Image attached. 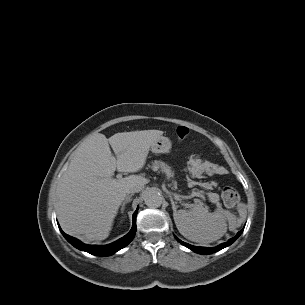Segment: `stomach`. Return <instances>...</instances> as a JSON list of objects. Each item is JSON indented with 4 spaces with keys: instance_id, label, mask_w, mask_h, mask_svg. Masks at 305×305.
<instances>
[{
    "instance_id": "1",
    "label": "stomach",
    "mask_w": 305,
    "mask_h": 305,
    "mask_svg": "<svg viewBox=\"0 0 305 305\" xmlns=\"http://www.w3.org/2000/svg\"><path fill=\"white\" fill-rule=\"evenodd\" d=\"M172 148V143L168 137L161 136L150 147L153 153H169Z\"/></svg>"
}]
</instances>
